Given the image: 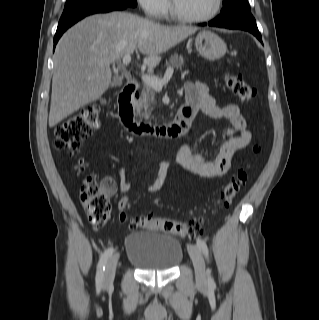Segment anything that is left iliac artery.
<instances>
[{"label":"left iliac artery","instance_id":"obj_1","mask_svg":"<svg viewBox=\"0 0 319 320\" xmlns=\"http://www.w3.org/2000/svg\"><path fill=\"white\" fill-rule=\"evenodd\" d=\"M197 246L199 247V249L202 251V253L208 257V247H207V244L204 240L198 238L197 239ZM208 272H209V278H208V284L209 286H215V282L213 280V278L211 277L210 275V270L208 269Z\"/></svg>","mask_w":319,"mask_h":320}]
</instances>
